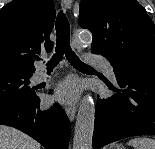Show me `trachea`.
<instances>
[{
	"label": "trachea",
	"instance_id": "1",
	"mask_svg": "<svg viewBox=\"0 0 155 149\" xmlns=\"http://www.w3.org/2000/svg\"><path fill=\"white\" fill-rule=\"evenodd\" d=\"M56 53L47 63V69L52 70L63 58L65 54L68 62L77 69H93L84 64L70 46V25L65 14L61 11L56 19Z\"/></svg>",
	"mask_w": 155,
	"mask_h": 149
}]
</instances>
